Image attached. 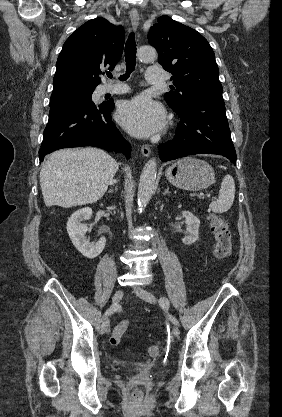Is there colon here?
<instances>
[{"label": "colon", "instance_id": "1", "mask_svg": "<svg viewBox=\"0 0 282 417\" xmlns=\"http://www.w3.org/2000/svg\"><path fill=\"white\" fill-rule=\"evenodd\" d=\"M208 223L215 238L214 253L216 259L222 261L227 259L232 251V238L229 231L228 221L218 214H210ZM130 328V321H121L113 330L109 338L111 346L119 345L122 337ZM162 354V346L154 343L147 347L146 357L148 360L158 359ZM132 397L134 403H145L147 397L146 389H133Z\"/></svg>", "mask_w": 282, "mask_h": 417}]
</instances>
